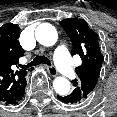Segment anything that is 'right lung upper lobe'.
I'll return each mask as SVG.
<instances>
[{"label": "right lung upper lobe", "mask_w": 117, "mask_h": 117, "mask_svg": "<svg viewBox=\"0 0 117 117\" xmlns=\"http://www.w3.org/2000/svg\"><path fill=\"white\" fill-rule=\"evenodd\" d=\"M20 28L15 24H5L0 28V101L11 98L26 80V70L14 71L19 58L23 56L19 38Z\"/></svg>", "instance_id": "1"}]
</instances>
